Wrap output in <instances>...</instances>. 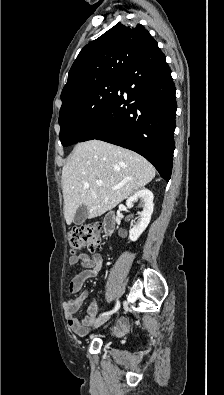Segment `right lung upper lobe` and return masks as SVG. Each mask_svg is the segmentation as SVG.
Segmentation results:
<instances>
[{"label":"right lung upper lobe","instance_id":"right-lung-upper-lobe-1","mask_svg":"<svg viewBox=\"0 0 224 395\" xmlns=\"http://www.w3.org/2000/svg\"><path fill=\"white\" fill-rule=\"evenodd\" d=\"M153 42L156 41L141 24H116L81 50L69 71L61 100L94 83L122 78Z\"/></svg>","mask_w":224,"mask_h":395}]
</instances>
